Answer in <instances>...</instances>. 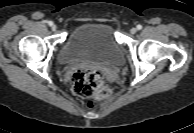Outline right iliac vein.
I'll list each match as a JSON object with an SVG mask.
<instances>
[{"label":"right iliac vein","mask_w":194,"mask_h":133,"mask_svg":"<svg viewBox=\"0 0 194 133\" xmlns=\"http://www.w3.org/2000/svg\"><path fill=\"white\" fill-rule=\"evenodd\" d=\"M51 29H52L53 31H55V30L57 29L56 25L53 24V25L51 26Z\"/></svg>","instance_id":"right-iliac-vein-1"}]
</instances>
